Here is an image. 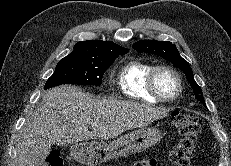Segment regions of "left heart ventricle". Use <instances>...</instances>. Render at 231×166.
I'll list each match as a JSON object with an SVG mask.
<instances>
[{
    "mask_svg": "<svg viewBox=\"0 0 231 166\" xmlns=\"http://www.w3.org/2000/svg\"><path fill=\"white\" fill-rule=\"evenodd\" d=\"M158 90L165 97H171L176 93L177 81L175 77L168 71H160L156 78Z\"/></svg>",
    "mask_w": 231,
    "mask_h": 166,
    "instance_id": "1",
    "label": "left heart ventricle"
}]
</instances>
